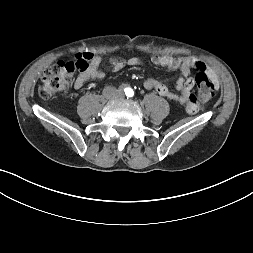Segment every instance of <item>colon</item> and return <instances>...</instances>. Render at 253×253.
Masks as SVG:
<instances>
[{"mask_svg":"<svg viewBox=\"0 0 253 253\" xmlns=\"http://www.w3.org/2000/svg\"><path fill=\"white\" fill-rule=\"evenodd\" d=\"M91 58L92 54L85 53L73 61H59L49 67L42 76L38 90L39 96L43 99H50L67 88L75 74L84 73L88 69ZM195 69L197 74L194 82L199 90L198 98L203 103L211 96L213 82L207 76L204 64L196 62Z\"/></svg>","mask_w":253,"mask_h":253,"instance_id":"obj_1","label":"colon"}]
</instances>
